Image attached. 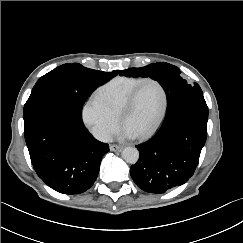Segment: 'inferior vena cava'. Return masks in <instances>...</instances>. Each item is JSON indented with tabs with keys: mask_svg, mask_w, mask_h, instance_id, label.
Returning <instances> with one entry per match:
<instances>
[{
	"mask_svg": "<svg viewBox=\"0 0 243 243\" xmlns=\"http://www.w3.org/2000/svg\"><path fill=\"white\" fill-rule=\"evenodd\" d=\"M91 133L99 141L110 142L112 140L111 133L100 126L92 127Z\"/></svg>",
	"mask_w": 243,
	"mask_h": 243,
	"instance_id": "1",
	"label": "inferior vena cava"
}]
</instances>
